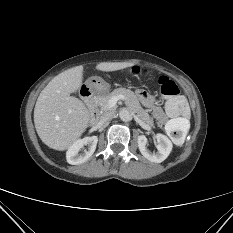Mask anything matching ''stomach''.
Returning <instances> with one entry per match:
<instances>
[{"mask_svg": "<svg viewBox=\"0 0 233 233\" xmlns=\"http://www.w3.org/2000/svg\"><path fill=\"white\" fill-rule=\"evenodd\" d=\"M87 84L99 92H104L109 89V85L100 77H91L87 80Z\"/></svg>", "mask_w": 233, "mask_h": 233, "instance_id": "0dacf381", "label": "stomach"}]
</instances>
